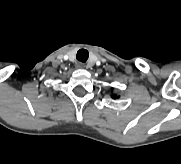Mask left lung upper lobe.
Instances as JSON below:
<instances>
[{"label": "left lung upper lobe", "mask_w": 181, "mask_h": 164, "mask_svg": "<svg viewBox=\"0 0 181 164\" xmlns=\"http://www.w3.org/2000/svg\"><path fill=\"white\" fill-rule=\"evenodd\" d=\"M116 97V95H112V98H115Z\"/></svg>", "instance_id": "5c2ea615"}]
</instances>
